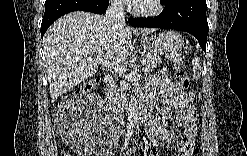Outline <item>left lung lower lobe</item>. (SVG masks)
Returning a JSON list of instances; mask_svg holds the SVG:
<instances>
[{"label": "left lung lower lobe", "mask_w": 247, "mask_h": 156, "mask_svg": "<svg viewBox=\"0 0 247 156\" xmlns=\"http://www.w3.org/2000/svg\"><path fill=\"white\" fill-rule=\"evenodd\" d=\"M161 14L153 18H129L134 27L166 28L185 31L196 37L206 52L208 22L206 0H172L164 4Z\"/></svg>", "instance_id": "left-lung-lower-lobe-1"}]
</instances>
